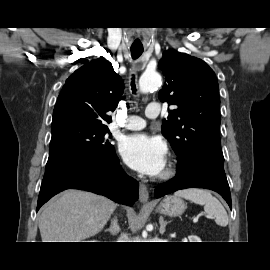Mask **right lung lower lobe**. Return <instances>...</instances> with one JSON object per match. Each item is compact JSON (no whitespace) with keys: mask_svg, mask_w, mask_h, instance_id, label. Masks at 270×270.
Segmentation results:
<instances>
[{"mask_svg":"<svg viewBox=\"0 0 270 270\" xmlns=\"http://www.w3.org/2000/svg\"><path fill=\"white\" fill-rule=\"evenodd\" d=\"M66 189L90 191L128 206L139 197L138 182L124 173L117 155L105 156L94 150H62L49 155L36 211Z\"/></svg>","mask_w":270,"mask_h":270,"instance_id":"right-lung-lower-lobe-1","label":"right lung lower lobe"}]
</instances>
